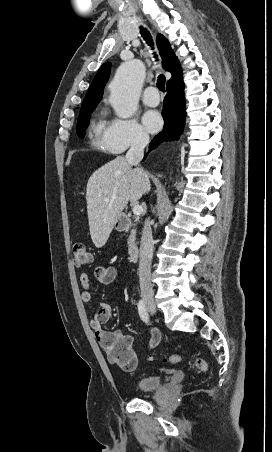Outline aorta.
Masks as SVG:
<instances>
[{
    "label": "aorta",
    "instance_id": "aorta-1",
    "mask_svg": "<svg viewBox=\"0 0 272 452\" xmlns=\"http://www.w3.org/2000/svg\"><path fill=\"white\" fill-rule=\"evenodd\" d=\"M145 67L138 59L123 63L110 85V103L119 118L132 117L138 108Z\"/></svg>",
    "mask_w": 272,
    "mask_h": 452
}]
</instances>
